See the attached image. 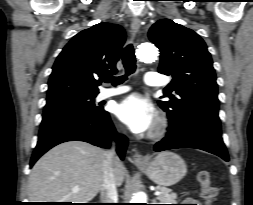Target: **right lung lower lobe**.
<instances>
[{
    "label": "right lung lower lobe",
    "mask_w": 253,
    "mask_h": 205,
    "mask_svg": "<svg viewBox=\"0 0 253 205\" xmlns=\"http://www.w3.org/2000/svg\"><path fill=\"white\" fill-rule=\"evenodd\" d=\"M117 142V153L124 158L128 141L116 133L109 113L103 110L96 115L71 112L43 114L37 146L30 166L49 149L66 141H84L102 148H109L111 140Z\"/></svg>",
    "instance_id": "right-lung-lower-lobe-1"
}]
</instances>
